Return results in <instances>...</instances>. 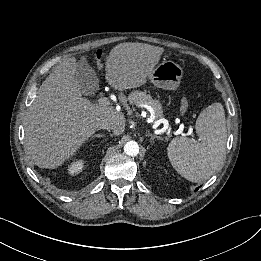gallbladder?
Segmentation results:
<instances>
[{
	"label": "gallbladder",
	"mask_w": 261,
	"mask_h": 261,
	"mask_svg": "<svg viewBox=\"0 0 261 261\" xmlns=\"http://www.w3.org/2000/svg\"><path fill=\"white\" fill-rule=\"evenodd\" d=\"M75 78L80 85V91L84 95H89L98 87V78L94 69L86 62L77 63Z\"/></svg>",
	"instance_id": "obj_1"
}]
</instances>
